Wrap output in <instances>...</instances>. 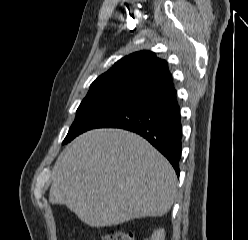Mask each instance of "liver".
<instances>
[{"mask_svg": "<svg viewBox=\"0 0 248 240\" xmlns=\"http://www.w3.org/2000/svg\"><path fill=\"white\" fill-rule=\"evenodd\" d=\"M176 187L171 164L145 139L121 129H95L61 153L49 200L91 227H105L165 215Z\"/></svg>", "mask_w": 248, "mask_h": 240, "instance_id": "6515ba94", "label": "liver"}]
</instances>
